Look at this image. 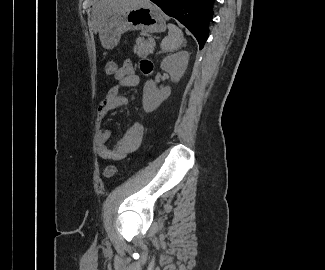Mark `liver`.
Instances as JSON below:
<instances>
[{"label": "liver", "instance_id": "obj_1", "mask_svg": "<svg viewBox=\"0 0 325 270\" xmlns=\"http://www.w3.org/2000/svg\"><path fill=\"white\" fill-rule=\"evenodd\" d=\"M144 0H96L92 8V30L99 33L107 18L114 13L143 3Z\"/></svg>", "mask_w": 325, "mask_h": 270}]
</instances>
